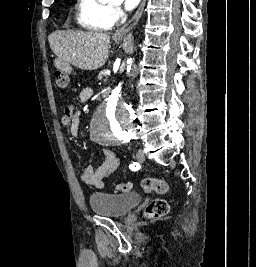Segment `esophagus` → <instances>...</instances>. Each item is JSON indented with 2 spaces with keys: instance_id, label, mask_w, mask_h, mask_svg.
Returning a JSON list of instances; mask_svg holds the SVG:
<instances>
[{
  "instance_id": "obj_1",
  "label": "esophagus",
  "mask_w": 256,
  "mask_h": 267,
  "mask_svg": "<svg viewBox=\"0 0 256 267\" xmlns=\"http://www.w3.org/2000/svg\"><path fill=\"white\" fill-rule=\"evenodd\" d=\"M146 0H142L141 4L138 8V10L135 12V14L133 15V17L129 20V22L125 23V25H123V27H121L114 35L116 37H121L123 35H126L127 33H129L137 24L138 20L140 19L142 13H143V9L145 6Z\"/></svg>"
}]
</instances>
